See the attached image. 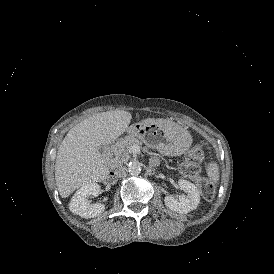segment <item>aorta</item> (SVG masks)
I'll use <instances>...</instances> for the list:
<instances>
[{"label": "aorta", "instance_id": "1", "mask_svg": "<svg viewBox=\"0 0 274 274\" xmlns=\"http://www.w3.org/2000/svg\"><path fill=\"white\" fill-rule=\"evenodd\" d=\"M128 171L131 175H138L141 172V163L137 160L131 161L128 165Z\"/></svg>", "mask_w": 274, "mask_h": 274}]
</instances>
